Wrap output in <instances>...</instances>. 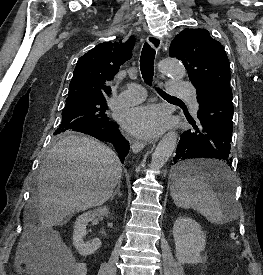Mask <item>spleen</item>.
<instances>
[{
	"mask_svg": "<svg viewBox=\"0 0 263 275\" xmlns=\"http://www.w3.org/2000/svg\"><path fill=\"white\" fill-rule=\"evenodd\" d=\"M195 165L221 170L224 173L222 184L226 191L219 199L202 180L193 176L179 177L174 180L170 187L175 205L184 209L193 208L212 224L220 225L229 222L233 217L231 208L234 202V197L230 192L233 185L229 168L221 162L215 161H202Z\"/></svg>",
	"mask_w": 263,
	"mask_h": 275,
	"instance_id": "obj_1",
	"label": "spleen"
}]
</instances>
